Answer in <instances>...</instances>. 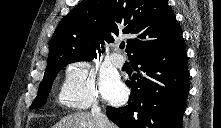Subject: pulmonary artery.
Wrapping results in <instances>:
<instances>
[{"label": "pulmonary artery", "mask_w": 221, "mask_h": 128, "mask_svg": "<svg viewBox=\"0 0 221 128\" xmlns=\"http://www.w3.org/2000/svg\"><path fill=\"white\" fill-rule=\"evenodd\" d=\"M110 59L112 64L118 68H121L125 63V59L118 51L112 53Z\"/></svg>", "instance_id": "obj_1"}]
</instances>
